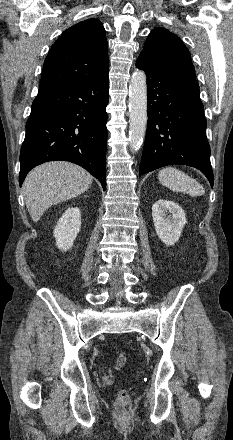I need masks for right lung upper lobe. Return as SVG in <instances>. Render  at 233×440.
Listing matches in <instances>:
<instances>
[{"label": "right lung upper lobe", "mask_w": 233, "mask_h": 440, "mask_svg": "<svg viewBox=\"0 0 233 440\" xmlns=\"http://www.w3.org/2000/svg\"><path fill=\"white\" fill-rule=\"evenodd\" d=\"M108 43L97 19L67 29L53 44L43 67L39 91L70 87L108 72Z\"/></svg>", "instance_id": "obj_1"}]
</instances>
